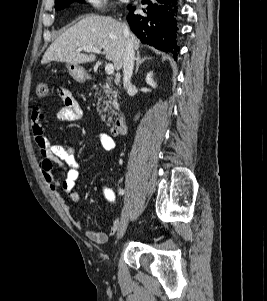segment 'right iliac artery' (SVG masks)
I'll list each match as a JSON object with an SVG mask.
<instances>
[{"label":"right iliac artery","mask_w":267,"mask_h":301,"mask_svg":"<svg viewBox=\"0 0 267 301\" xmlns=\"http://www.w3.org/2000/svg\"><path fill=\"white\" fill-rule=\"evenodd\" d=\"M124 192H125V191H124L123 189H120V190H119V194H120V195H123Z\"/></svg>","instance_id":"right-iliac-artery-1"}]
</instances>
